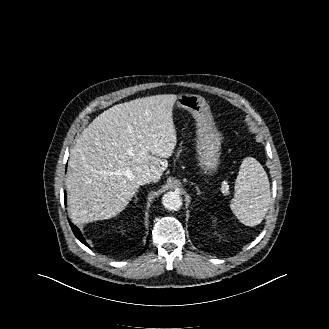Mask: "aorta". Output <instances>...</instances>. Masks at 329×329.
<instances>
[{
    "mask_svg": "<svg viewBox=\"0 0 329 329\" xmlns=\"http://www.w3.org/2000/svg\"><path fill=\"white\" fill-rule=\"evenodd\" d=\"M162 204L168 210H179L183 204L180 190L175 189V191H170L164 194L162 197Z\"/></svg>",
    "mask_w": 329,
    "mask_h": 329,
    "instance_id": "762f6f07",
    "label": "aorta"
}]
</instances>
